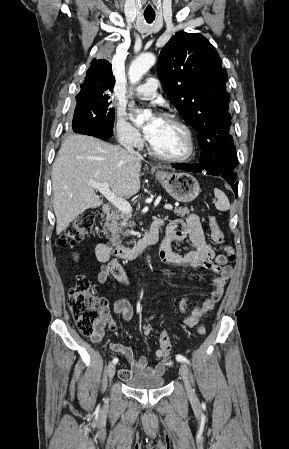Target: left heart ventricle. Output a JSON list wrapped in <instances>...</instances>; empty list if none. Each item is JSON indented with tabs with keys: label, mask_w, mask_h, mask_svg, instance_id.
Wrapping results in <instances>:
<instances>
[{
	"label": "left heart ventricle",
	"mask_w": 289,
	"mask_h": 449,
	"mask_svg": "<svg viewBox=\"0 0 289 449\" xmlns=\"http://www.w3.org/2000/svg\"><path fill=\"white\" fill-rule=\"evenodd\" d=\"M149 141L157 152L167 156H181L188 149L184 132L176 125L163 119H161Z\"/></svg>",
	"instance_id": "1"
}]
</instances>
